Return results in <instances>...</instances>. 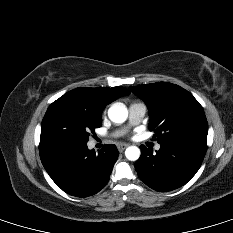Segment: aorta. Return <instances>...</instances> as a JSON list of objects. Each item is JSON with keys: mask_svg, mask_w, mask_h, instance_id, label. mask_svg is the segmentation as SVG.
<instances>
[{"mask_svg": "<svg viewBox=\"0 0 233 233\" xmlns=\"http://www.w3.org/2000/svg\"><path fill=\"white\" fill-rule=\"evenodd\" d=\"M108 116L115 123H123L128 117V110L125 105L116 103L109 108ZM125 156L130 161H136L140 157V149L136 146H130L125 150Z\"/></svg>", "mask_w": 233, "mask_h": 233, "instance_id": "762f6f07", "label": "aorta"}]
</instances>
